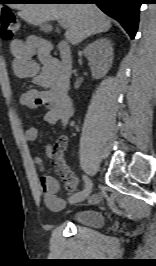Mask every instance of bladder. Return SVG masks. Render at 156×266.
I'll return each mask as SVG.
<instances>
[{
    "label": "bladder",
    "instance_id": "1",
    "mask_svg": "<svg viewBox=\"0 0 156 266\" xmlns=\"http://www.w3.org/2000/svg\"><path fill=\"white\" fill-rule=\"evenodd\" d=\"M68 219L75 224L93 228L101 226L104 221L102 213L91 208L76 210Z\"/></svg>",
    "mask_w": 156,
    "mask_h": 266
}]
</instances>
